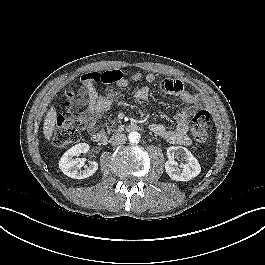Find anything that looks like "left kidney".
<instances>
[{
  "mask_svg": "<svg viewBox=\"0 0 265 265\" xmlns=\"http://www.w3.org/2000/svg\"><path fill=\"white\" fill-rule=\"evenodd\" d=\"M167 155L168 161L165 163V170L172 180L189 181L200 174V164L187 148L171 146L167 149ZM175 158L185 161V164H180L182 169L178 168Z\"/></svg>",
  "mask_w": 265,
  "mask_h": 265,
  "instance_id": "1",
  "label": "left kidney"
}]
</instances>
